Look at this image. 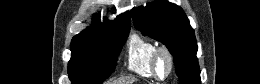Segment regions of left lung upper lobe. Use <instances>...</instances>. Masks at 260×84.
<instances>
[{
	"label": "left lung upper lobe",
	"mask_w": 260,
	"mask_h": 84,
	"mask_svg": "<svg viewBox=\"0 0 260 84\" xmlns=\"http://www.w3.org/2000/svg\"><path fill=\"white\" fill-rule=\"evenodd\" d=\"M134 26L162 42L174 56L180 84H201L194 30L183 10L165 0L131 10Z\"/></svg>",
	"instance_id": "5c2ea615"
}]
</instances>
